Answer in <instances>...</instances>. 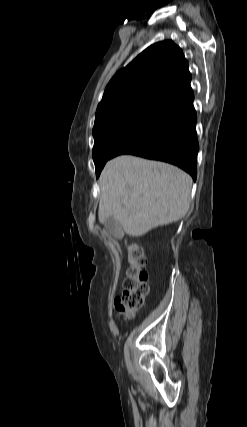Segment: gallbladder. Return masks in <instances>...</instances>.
Instances as JSON below:
<instances>
[{
  "instance_id": "gallbladder-1",
  "label": "gallbladder",
  "mask_w": 247,
  "mask_h": 427,
  "mask_svg": "<svg viewBox=\"0 0 247 427\" xmlns=\"http://www.w3.org/2000/svg\"><path fill=\"white\" fill-rule=\"evenodd\" d=\"M103 224L106 227L107 231L115 238H121L123 236L122 226L120 222L113 216L107 217L103 221Z\"/></svg>"
}]
</instances>
